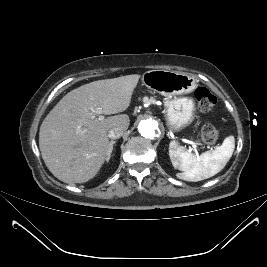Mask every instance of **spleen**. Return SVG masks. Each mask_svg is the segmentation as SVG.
<instances>
[{
	"mask_svg": "<svg viewBox=\"0 0 267 267\" xmlns=\"http://www.w3.org/2000/svg\"><path fill=\"white\" fill-rule=\"evenodd\" d=\"M235 148L234 136L224 139L215 150L206 151L201 155L192 154L175 141L169 144V157L175 169L182 171L178 178L197 182L219 173L230 160Z\"/></svg>",
	"mask_w": 267,
	"mask_h": 267,
	"instance_id": "3e777b00",
	"label": "spleen"
}]
</instances>
